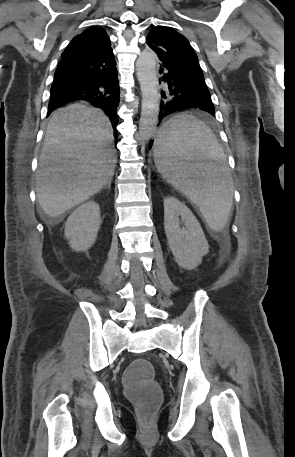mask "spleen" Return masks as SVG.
Wrapping results in <instances>:
<instances>
[{
  "mask_svg": "<svg viewBox=\"0 0 295 457\" xmlns=\"http://www.w3.org/2000/svg\"><path fill=\"white\" fill-rule=\"evenodd\" d=\"M154 161L162 177L196 204L211 230L224 229L233 203V180L215 135L183 113L159 131Z\"/></svg>",
  "mask_w": 295,
  "mask_h": 457,
  "instance_id": "1",
  "label": "spleen"
}]
</instances>
